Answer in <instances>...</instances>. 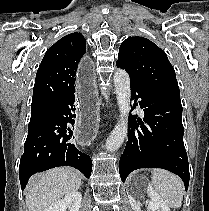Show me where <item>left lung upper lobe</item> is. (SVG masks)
Returning a JSON list of instances; mask_svg holds the SVG:
<instances>
[{
    "label": "left lung upper lobe",
    "mask_w": 209,
    "mask_h": 211,
    "mask_svg": "<svg viewBox=\"0 0 209 211\" xmlns=\"http://www.w3.org/2000/svg\"><path fill=\"white\" fill-rule=\"evenodd\" d=\"M117 64L152 92L180 98L175 71L166 54L152 41L128 37L119 49Z\"/></svg>",
    "instance_id": "obj_1"
}]
</instances>
